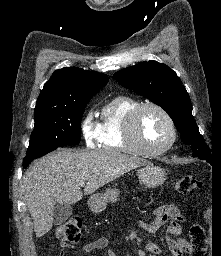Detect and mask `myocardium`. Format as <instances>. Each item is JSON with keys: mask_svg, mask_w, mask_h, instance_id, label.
<instances>
[{"mask_svg": "<svg viewBox=\"0 0 221 256\" xmlns=\"http://www.w3.org/2000/svg\"><path fill=\"white\" fill-rule=\"evenodd\" d=\"M146 108L158 110L167 120L170 128V138L168 142L160 148H150L141 139L139 131V119ZM126 140L141 154L148 156H158L169 151L177 140V127L171 114L160 104L155 102H144L136 106L128 115L125 126Z\"/></svg>", "mask_w": 221, "mask_h": 256, "instance_id": "myocardium-1", "label": "myocardium"}]
</instances>
